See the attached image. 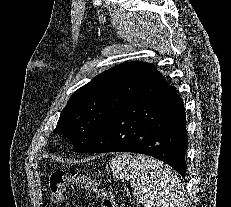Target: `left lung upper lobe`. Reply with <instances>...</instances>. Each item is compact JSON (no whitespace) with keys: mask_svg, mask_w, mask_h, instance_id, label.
I'll return each mask as SVG.
<instances>
[{"mask_svg":"<svg viewBox=\"0 0 231 207\" xmlns=\"http://www.w3.org/2000/svg\"><path fill=\"white\" fill-rule=\"evenodd\" d=\"M154 65L129 62L97 75L79 88L62 110L54 133L64 134L85 152L109 120L144 87Z\"/></svg>","mask_w":231,"mask_h":207,"instance_id":"1","label":"left lung upper lobe"}]
</instances>
